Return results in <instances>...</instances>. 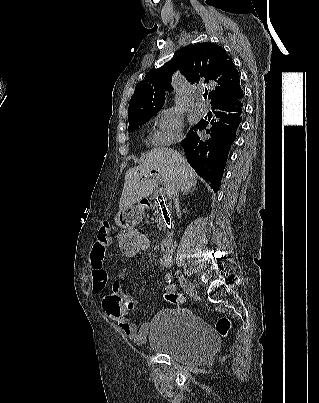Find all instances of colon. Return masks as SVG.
<instances>
[{"label":"colon","instance_id":"5ec220e1","mask_svg":"<svg viewBox=\"0 0 319 403\" xmlns=\"http://www.w3.org/2000/svg\"><path fill=\"white\" fill-rule=\"evenodd\" d=\"M142 232V226H127V229H122L120 236L115 237V250L121 254L122 260H136L137 254L149 253L148 237ZM165 298L178 306H182L186 302L182 294L172 291H167ZM230 326L231 323L227 317H221L216 322V329L222 336L228 334Z\"/></svg>","mask_w":319,"mask_h":403}]
</instances>
